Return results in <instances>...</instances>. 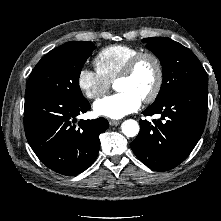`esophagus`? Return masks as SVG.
I'll use <instances>...</instances> for the list:
<instances>
[{
	"label": "esophagus",
	"instance_id": "esophagus-1",
	"mask_svg": "<svg viewBox=\"0 0 221 221\" xmlns=\"http://www.w3.org/2000/svg\"><path fill=\"white\" fill-rule=\"evenodd\" d=\"M121 123L120 120H109L111 126H118Z\"/></svg>",
	"mask_w": 221,
	"mask_h": 221
}]
</instances>
